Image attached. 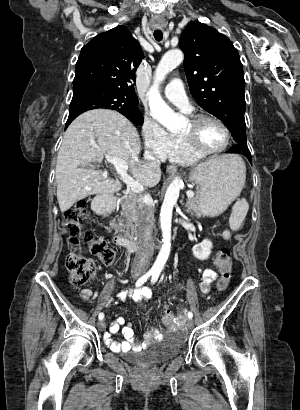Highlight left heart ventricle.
I'll use <instances>...</instances> for the list:
<instances>
[{"label":"left heart ventricle","mask_w":300,"mask_h":410,"mask_svg":"<svg viewBox=\"0 0 300 410\" xmlns=\"http://www.w3.org/2000/svg\"><path fill=\"white\" fill-rule=\"evenodd\" d=\"M190 130V123L187 122L181 134H187ZM196 138L203 150L218 149L223 146L226 140L223 129L216 122L210 120L203 121L197 126Z\"/></svg>","instance_id":"obj_1"}]
</instances>
